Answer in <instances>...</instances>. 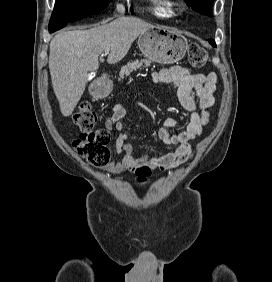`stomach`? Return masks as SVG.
Segmentation results:
<instances>
[{"mask_svg": "<svg viewBox=\"0 0 272 282\" xmlns=\"http://www.w3.org/2000/svg\"><path fill=\"white\" fill-rule=\"evenodd\" d=\"M137 43L145 57L161 64L180 61L188 49L187 39L182 34L164 26H154L140 34ZM111 89L109 82L106 90Z\"/></svg>", "mask_w": 272, "mask_h": 282, "instance_id": "obj_1", "label": "stomach"}]
</instances>
